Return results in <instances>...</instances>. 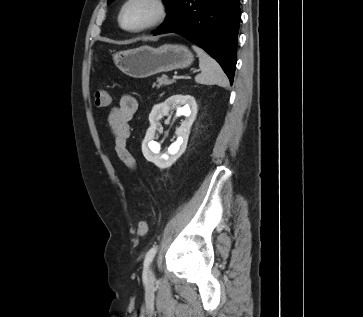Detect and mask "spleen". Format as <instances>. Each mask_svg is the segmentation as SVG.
I'll return each instance as SVG.
<instances>
[{
  "instance_id": "1",
  "label": "spleen",
  "mask_w": 363,
  "mask_h": 317,
  "mask_svg": "<svg viewBox=\"0 0 363 317\" xmlns=\"http://www.w3.org/2000/svg\"><path fill=\"white\" fill-rule=\"evenodd\" d=\"M192 48L199 57V67L201 69V73L195 77V81L199 84H217L227 87L229 80L219 63L200 47L193 45Z\"/></svg>"
}]
</instances>
